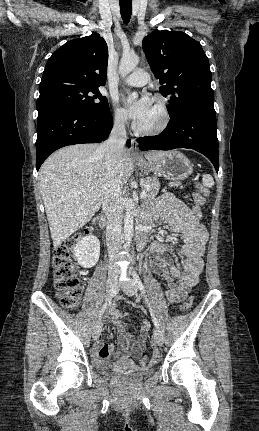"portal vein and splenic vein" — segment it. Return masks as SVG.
Segmentation results:
<instances>
[{
    "label": "portal vein and splenic vein",
    "instance_id": "portal-vein-and-splenic-vein-1",
    "mask_svg": "<svg viewBox=\"0 0 259 431\" xmlns=\"http://www.w3.org/2000/svg\"><path fill=\"white\" fill-rule=\"evenodd\" d=\"M90 190H92V188H90ZM147 196V193L145 192V191H142L141 193H140V197L141 198H145Z\"/></svg>",
    "mask_w": 259,
    "mask_h": 431
}]
</instances>
